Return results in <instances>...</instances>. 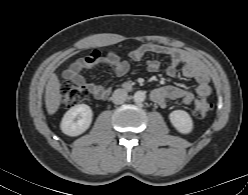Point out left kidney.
I'll return each mask as SVG.
<instances>
[{
    "label": "left kidney",
    "instance_id": "1",
    "mask_svg": "<svg viewBox=\"0 0 248 195\" xmlns=\"http://www.w3.org/2000/svg\"><path fill=\"white\" fill-rule=\"evenodd\" d=\"M171 124L182 134H189L193 130V120L184 110H174L169 114Z\"/></svg>",
    "mask_w": 248,
    "mask_h": 195
}]
</instances>
